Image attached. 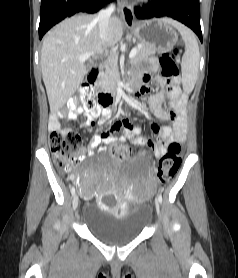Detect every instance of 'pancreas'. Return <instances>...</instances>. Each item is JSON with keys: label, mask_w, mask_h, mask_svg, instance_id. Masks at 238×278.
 <instances>
[{"label": "pancreas", "mask_w": 238, "mask_h": 278, "mask_svg": "<svg viewBox=\"0 0 238 278\" xmlns=\"http://www.w3.org/2000/svg\"><path fill=\"white\" fill-rule=\"evenodd\" d=\"M158 50L150 45L141 44L137 48V54L132 58V63H138L143 59L154 55ZM161 52V51H159ZM120 81V74L116 66H106L105 72L98 75L96 85L106 92H111L116 89L117 83Z\"/></svg>", "instance_id": "cf45deb5"}]
</instances>
